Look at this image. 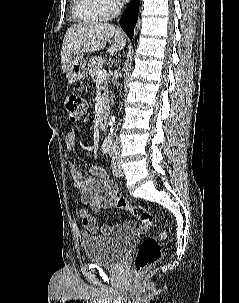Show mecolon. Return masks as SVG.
I'll return each instance as SVG.
<instances>
[{
    "instance_id": "obj_1",
    "label": "colon",
    "mask_w": 239,
    "mask_h": 303,
    "mask_svg": "<svg viewBox=\"0 0 239 303\" xmlns=\"http://www.w3.org/2000/svg\"><path fill=\"white\" fill-rule=\"evenodd\" d=\"M65 108L68 119L77 121L88 111L86 100L78 93H69L65 98ZM115 208L131 213L142 221L144 228L154 227L156 234L146 237L140 244L135 256V268L144 270L157 263L162 255L161 240L166 237V231L158 225L155 216L142 206L129 203L124 197L106 196Z\"/></svg>"
}]
</instances>
